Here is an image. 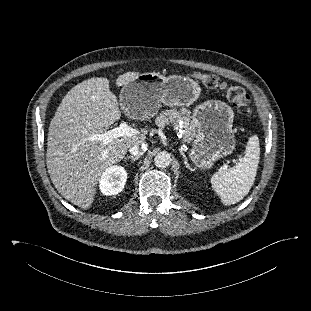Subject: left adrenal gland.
<instances>
[{"label":"left adrenal gland","instance_id":"left-adrenal-gland-1","mask_svg":"<svg viewBox=\"0 0 311 311\" xmlns=\"http://www.w3.org/2000/svg\"><path fill=\"white\" fill-rule=\"evenodd\" d=\"M179 150H180L181 155L183 156L185 166H186L188 169H191V167H190V165H189V163H188V161H187L186 155L184 154V152H183L181 149H179Z\"/></svg>","mask_w":311,"mask_h":311}]
</instances>
